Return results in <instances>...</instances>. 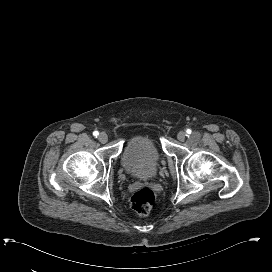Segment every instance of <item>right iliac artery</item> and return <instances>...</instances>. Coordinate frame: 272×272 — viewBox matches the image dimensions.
Listing matches in <instances>:
<instances>
[{"instance_id":"82829eb1","label":"right iliac artery","mask_w":272,"mask_h":272,"mask_svg":"<svg viewBox=\"0 0 272 272\" xmlns=\"http://www.w3.org/2000/svg\"><path fill=\"white\" fill-rule=\"evenodd\" d=\"M93 135H94L95 137H97V136L99 135L98 131H94V132H93Z\"/></svg>"}]
</instances>
